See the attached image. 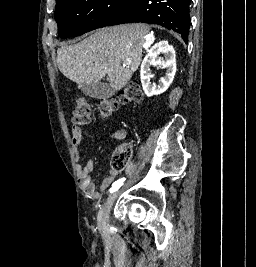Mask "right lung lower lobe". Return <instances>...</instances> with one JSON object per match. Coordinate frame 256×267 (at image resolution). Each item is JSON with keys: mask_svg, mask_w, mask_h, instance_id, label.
I'll return each mask as SVG.
<instances>
[{"mask_svg": "<svg viewBox=\"0 0 256 267\" xmlns=\"http://www.w3.org/2000/svg\"><path fill=\"white\" fill-rule=\"evenodd\" d=\"M191 0H137L127 12L121 13L104 26L143 22L173 29L188 43ZM103 26V27H104Z\"/></svg>", "mask_w": 256, "mask_h": 267, "instance_id": "right-lung-lower-lobe-1", "label": "right lung lower lobe"}]
</instances>
